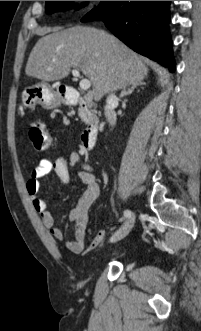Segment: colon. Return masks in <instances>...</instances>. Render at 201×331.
Segmentation results:
<instances>
[{"mask_svg": "<svg viewBox=\"0 0 201 331\" xmlns=\"http://www.w3.org/2000/svg\"><path fill=\"white\" fill-rule=\"evenodd\" d=\"M29 138L38 151L48 149L52 144V134L42 122L33 123L29 129Z\"/></svg>", "mask_w": 201, "mask_h": 331, "instance_id": "colon-1", "label": "colon"}]
</instances>
